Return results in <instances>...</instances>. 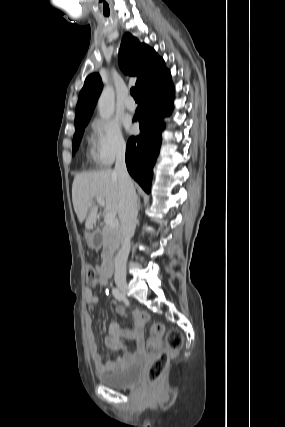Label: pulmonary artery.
<instances>
[{
	"label": "pulmonary artery",
	"instance_id": "1",
	"mask_svg": "<svg viewBox=\"0 0 285 427\" xmlns=\"http://www.w3.org/2000/svg\"><path fill=\"white\" fill-rule=\"evenodd\" d=\"M125 107L130 111H134L136 109V103L132 97H128L126 99Z\"/></svg>",
	"mask_w": 285,
	"mask_h": 427
}]
</instances>
